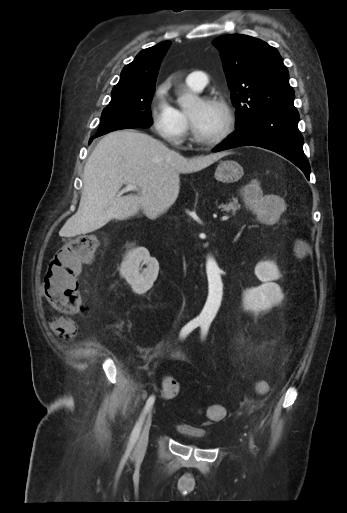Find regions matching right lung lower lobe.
Wrapping results in <instances>:
<instances>
[{"instance_id":"1","label":"right lung lower lobe","mask_w":347,"mask_h":513,"mask_svg":"<svg viewBox=\"0 0 347 513\" xmlns=\"http://www.w3.org/2000/svg\"><path fill=\"white\" fill-rule=\"evenodd\" d=\"M96 137H99V135H95L94 137H92V138L90 139L89 143H91V142H92V140H93L94 138H96Z\"/></svg>"}]
</instances>
